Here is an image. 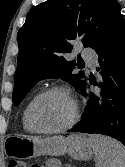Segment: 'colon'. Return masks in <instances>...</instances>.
<instances>
[{"instance_id":"colon-1","label":"colon","mask_w":125,"mask_h":167,"mask_svg":"<svg viewBox=\"0 0 125 167\" xmlns=\"http://www.w3.org/2000/svg\"><path fill=\"white\" fill-rule=\"evenodd\" d=\"M8 167H39L38 165L28 166L25 161L20 159H12L8 163Z\"/></svg>"}]
</instances>
